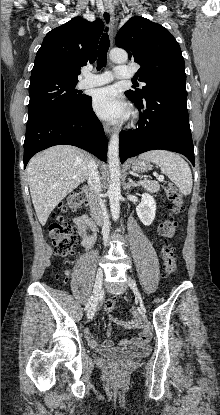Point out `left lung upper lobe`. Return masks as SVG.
<instances>
[{"label":"left lung upper lobe","mask_w":220,"mask_h":415,"mask_svg":"<svg viewBox=\"0 0 220 415\" xmlns=\"http://www.w3.org/2000/svg\"><path fill=\"white\" fill-rule=\"evenodd\" d=\"M115 44L128 52L131 62L140 65L136 76L146 85L127 91L134 99H144L158 85L186 83L180 46L163 26L140 16L132 17L117 33Z\"/></svg>","instance_id":"1"}]
</instances>
